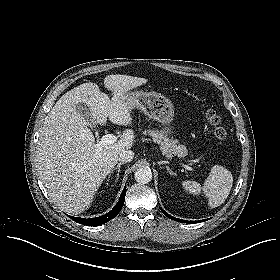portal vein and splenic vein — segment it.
<instances>
[{
    "mask_svg": "<svg viewBox=\"0 0 280 280\" xmlns=\"http://www.w3.org/2000/svg\"><path fill=\"white\" fill-rule=\"evenodd\" d=\"M117 141V136L113 134L103 135L99 143L96 144L97 149H102L103 146L113 144ZM184 168L189 171H194L192 167L184 165Z\"/></svg>",
    "mask_w": 280,
    "mask_h": 280,
    "instance_id": "18ae733b",
    "label": "portal vein and splenic vein"
}]
</instances>
